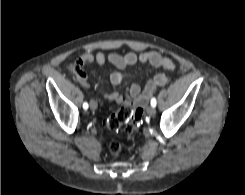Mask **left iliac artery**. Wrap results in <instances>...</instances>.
<instances>
[{
	"label": "left iliac artery",
	"mask_w": 245,
	"mask_h": 195,
	"mask_svg": "<svg viewBox=\"0 0 245 195\" xmlns=\"http://www.w3.org/2000/svg\"><path fill=\"white\" fill-rule=\"evenodd\" d=\"M156 98L151 99V106L155 107L156 106Z\"/></svg>",
	"instance_id": "left-iliac-artery-1"
}]
</instances>
